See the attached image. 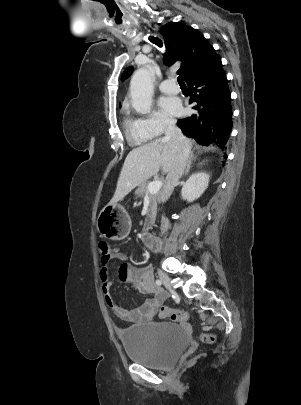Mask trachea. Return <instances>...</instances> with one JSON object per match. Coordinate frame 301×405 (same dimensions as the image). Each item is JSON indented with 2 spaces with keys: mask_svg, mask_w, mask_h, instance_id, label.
<instances>
[{
  "mask_svg": "<svg viewBox=\"0 0 301 405\" xmlns=\"http://www.w3.org/2000/svg\"><path fill=\"white\" fill-rule=\"evenodd\" d=\"M149 40L158 47H162V41L160 39L150 36ZM177 81L180 86H186L183 77L181 75L178 76Z\"/></svg>",
  "mask_w": 301,
  "mask_h": 405,
  "instance_id": "3493384b",
  "label": "trachea"
}]
</instances>
